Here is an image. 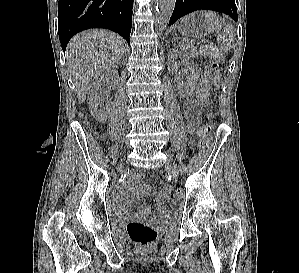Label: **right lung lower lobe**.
Segmentation results:
<instances>
[{"label": "right lung lower lobe", "instance_id": "right-lung-lower-lobe-1", "mask_svg": "<svg viewBox=\"0 0 299 273\" xmlns=\"http://www.w3.org/2000/svg\"><path fill=\"white\" fill-rule=\"evenodd\" d=\"M134 0H59L58 31L63 51L76 33L89 28L117 32L129 43Z\"/></svg>", "mask_w": 299, "mask_h": 273}]
</instances>
